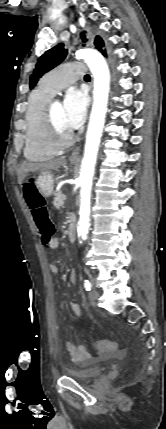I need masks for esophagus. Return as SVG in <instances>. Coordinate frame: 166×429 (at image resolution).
I'll list each match as a JSON object with an SVG mask.
<instances>
[{
  "label": "esophagus",
  "instance_id": "esophagus-1",
  "mask_svg": "<svg viewBox=\"0 0 166 429\" xmlns=\"http://www.w3.org/2000/svg\"><path fill=\"white\" fill-rule=\"evenodd\" d=\"M79 152H80V147H76V148L73 150V152H72V154H71L70 158H71V159H76V158H78V156H79Z\"/></svg>",
  "mask_w": 166,
  "mask_h": 429
}]
</instances>
